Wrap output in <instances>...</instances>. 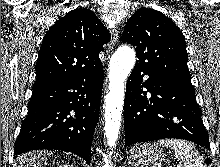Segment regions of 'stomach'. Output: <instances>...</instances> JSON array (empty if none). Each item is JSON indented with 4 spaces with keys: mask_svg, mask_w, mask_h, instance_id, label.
<instances>
[{
    "mask_svg": "<svg viewBox=\"0 0 220 167\" xmlns=\"http://www.w3.org/2000/svg\"><path fill=\"white\" fill-rule=\"evenodd\" d=\"M164 156L162 149L159 147L145 144L136 146L132 150L130 160L137 167H160Z\"/></svg>",
    "mask_w": 220,
    "mask_h": 167,
    "instance_id": "0dacf381",
    "label": "stomach"
}]
</instances>
